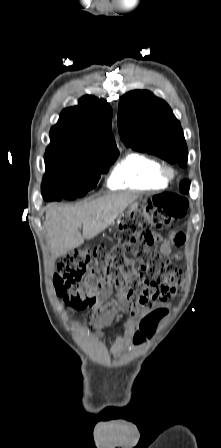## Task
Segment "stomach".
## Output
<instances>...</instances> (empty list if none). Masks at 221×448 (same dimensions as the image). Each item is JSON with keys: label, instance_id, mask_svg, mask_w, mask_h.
I'll return each mask as SVG.
<instances>
[{"label": "stomach", "instance_id": "1", "mask_svg": "<svg viewBox=\"0 0 221 448\" xmlns=\"http://www.w3.org/2000/svg\"><path fill=\"white\" fill-rule=\"evenodd\" d=\"M138 207H139L138 203L132 204L127 211V216L128 217L131 216L138 209ZM118 224H119V222H118Z\"/></svg>", "mask_w": 221, "mask_h": 448}]
</instances>
